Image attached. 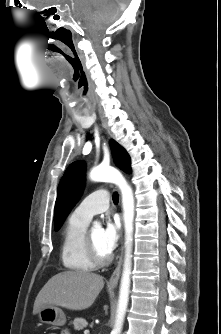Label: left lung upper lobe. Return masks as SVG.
I'll list each match as a JSON object with an SVG mask.
<instances>
[{
	"label": "left lung upper lobe",
	"mask_w": 221,
	"mask_h": 334,
	"mask_svg": "<svg viewBox=\"0 0 221 334\" xmlns=\"http://www.w3.org/2000/svg\"><path fill=\"white\" fill-rule=\"evenodd\" d=\"M110 146L114 159L119 168L126 173H131L130 157L127 152L114 140H110ZM85 180V163L75 161L65 171L57 191V199L54 211V230L57 231L67 214L78 201Z\"/></svg>",
	"instance_id": "5c2ea615"
}]
</instances>
